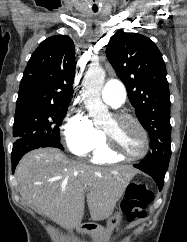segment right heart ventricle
I'll list each match as a JSON object with an SVG mask.
<instances>
[{
	"mask_svg": "<svg viewBox=\"0 0 187 242\" xmlns=\"http://www.w3.org/2000/svg\"><path fill=\"white\" fill-rule=\"evenodd\" d=\"M91 160L93 163L97 164H110L120 162L123 159L110 154L106 150L105 144L102 143L93 151Z\"/></svg>",
	"mask_w": 187,
	"mask_h": 242,
	"instance_id": "obj_1",
	"label": "right heart ventricle"
}]
</instances>
